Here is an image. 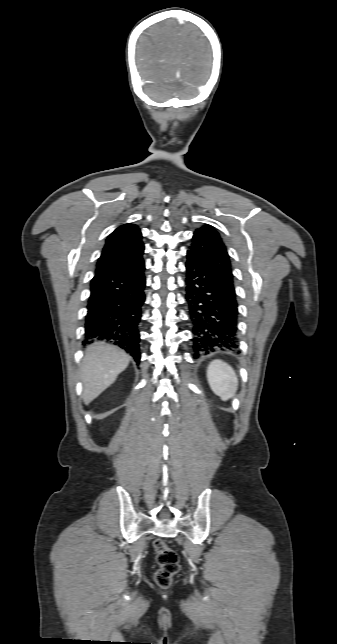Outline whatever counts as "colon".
Returning <instances> with one entry per match:
<instances>
[{
    "mask_svg": "<svg viewBox=\"0 0 337 644\" xmlns=\"http://www.w3.org/2000/svg\"><path fill=\"white\" fill-rule=\"evenodd\" d=\"M154 549L159 566L155 579L159 586L167 588L170 586L173 576L179 570V557L176 551L160 538L154 541Z\"/></svg>",
    "mask_w": 337,
    "mask_h": 644,
    "instance_id": "5ec220e1",
    "label": "colon"
}]
</instances>
